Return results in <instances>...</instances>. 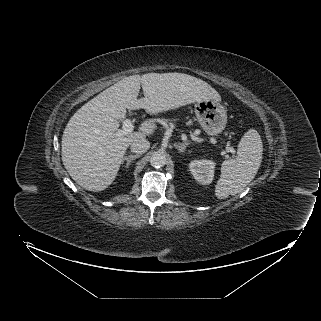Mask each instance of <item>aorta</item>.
Returning <instances> with one entry per match:
<instances>
[{
	"label": "aorta",
	"instance_id": "aorta-1",
	"mask_svg": "<svg viewBox=\"0 0 321 321\" xmlns=\"http://www.w3.org/2000/svg\"><path fill=\"white\" fill-rule=\"evenodd\" d=\"M166 162L167 159L165 154L160 151L154 152L150 158V164L156 168L163 167Z\"/></svg>",
	"mask_w": 321,
	"mask_h": 321
}]
</instances>
